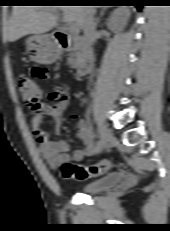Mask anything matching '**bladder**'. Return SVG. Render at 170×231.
Returning <instances> with one entry per match:
<instances>
[{
	"mask_svg": "<svg viewBox=\"0 0 170 231\" xmlns=\"http://www.w3.org/2000/svg\"><path fill=\"white\" fill-rule=\"evenodd\" d=\"M125 176L121 172L109 173L101 178L84 184L81 190L87 194H96L116 187L121 184Z\"/></svg>",
	"mask_w": 170,
	"mask_h": 231,
	"instance_id": "31cf9c89",
	"label": "bladder"
}]
</instances>
